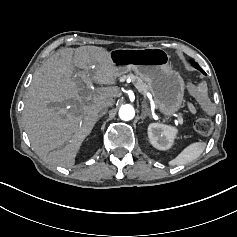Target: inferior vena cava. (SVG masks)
Wrapping results in <instances>:
<instances>
[{"instance_id":"1","label":"inferior vena cava","mask_w":237,"mask_h":237,"mask_svg":"<svg viewBox=\"0 0 237 237\" xmlns=\"http://www.w3.org/2000/svg\"><path fill=\"white\" fill-rule=\"evenodd\" d=\"M113 104H114V99L108 98V99L101 102V107L106 108V107L113 106Z\"/></svg>"}]
</instances>
